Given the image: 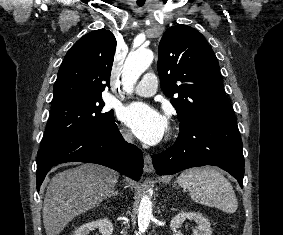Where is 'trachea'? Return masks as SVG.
<instances>
[{
    "label": "trachea",
    "instance_id": "obj_1",
    "mask_svg": "<svg viewBox=\"0 0 283 235\" xmlns=\"http://www.w3.org/2000/svg\"><path fill=\"white\" fill-rule=\"evenodd\" d=\"M139 6H142L143 4H138Z\"/></svg>",
    "mask_w": 283,
    "mask_h": 235
}]
</instances>
